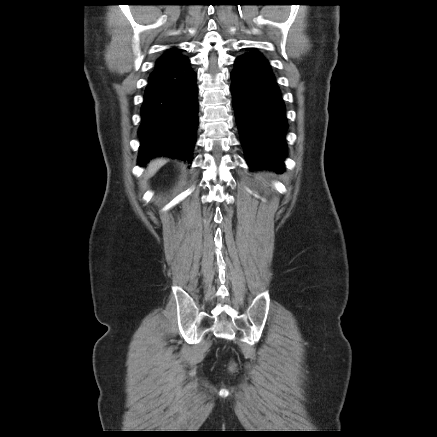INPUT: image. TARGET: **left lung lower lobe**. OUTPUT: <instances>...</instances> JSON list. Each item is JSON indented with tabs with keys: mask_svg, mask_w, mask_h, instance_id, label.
Returning <instances> with one entry per match:
<instances>
[{
	"mask_svg": "<svg viewBox=\"0 0 437 437\" xmlns=\"http://www.w3.org/2000/svg\"><path fill=\"white\" fill-rule=\"evenodd\" d=\"M231 93L241 143L251 169L284 171L285 105L268 60L258 51L239 56Z\"/></svg>",
	"mask_w": 437,
	"mask_h": 437,
	"instance_id": "left-lung-lower-lobe-1",
	"label": "left lung lower lobe"
}]
</instances>
